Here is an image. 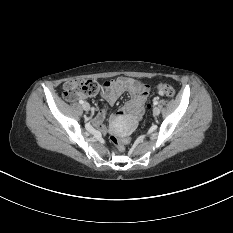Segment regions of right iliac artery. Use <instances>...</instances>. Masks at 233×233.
Wrapping results in <instances>:
<instances>
[{
	"mask_svg": "<svg viewBox=\"0 0 233 233\" xmlns=\"http://www.w3.org/2000/svg\"><path fill=\"white\" fill-rule=\"evenodd\" d=\"M79 103H80V104H83V103H84V101H83V100H79Z\"/></svg>",
	"mask_w": 233,
	"mask_h": 233,
	"instance_id": "1",
	"label": "right iliac artery"
}]
</instances>
